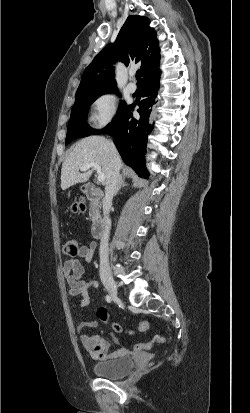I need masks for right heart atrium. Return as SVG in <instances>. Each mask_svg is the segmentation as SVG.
Returning a JSON list of instances; mask_svg holds the SVG:
<instances>
[{
	"label": "right heart atrium",
	"instance_id": "obj_1",
	"mask_svg": "<svg viewBox=\"0 0 250 413\" xmlns=\"http://www.w3.org/2000/svg\"><path fill=\"white\" fill-rule=\"evenodd\" d=\"M117 112V98L112 93L96 97L90 106L89 121L93 128L99 129L109 124Z\"/></svg>",
	"mask_w": 250,
	"mask_h": 413
}]
</instances>
